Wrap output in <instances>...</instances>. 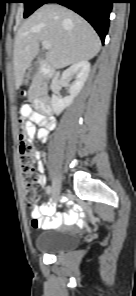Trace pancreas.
I'll list each match as a JSON object with an SVG mask.
<instances>
[{
	"mask_svg": "<svg viewBox=\"0 0 136 296\" xmlns=\"http://www.w3.org/2000/svg\"><path fill=\"white\" fill-rule=\"evenodd\" d=\"M30 96H37L39 94V88L37 83H33L29 89Z\"/></svg>",
	"mask_w": 136,
	"mask_h": 296,
	"instance_id": "1",
	"label": "pancreas"
}]
</instances>
